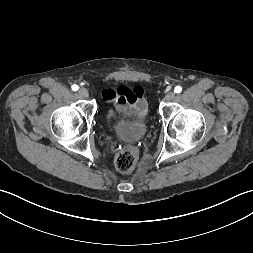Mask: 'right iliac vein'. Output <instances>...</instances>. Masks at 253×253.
<instances>
[{
    "label": "right iliac vein",
    "mask_w": 253,
    "mask_h": 253,
    "mask_svg": "<svg viewBox=\"0 0 253 253\" xmlns=\"http://www.w3.org/2000/svg\"><path fill=\"white\" fill-rule=\"evenodd\" d=\"M78 94H79V96L82 97V98H87V97L89 96L88 90H87L86 88H84V87H81V88L79 89Z\"/></svg>",
    "instance_id": "1"
}]
</instances>
